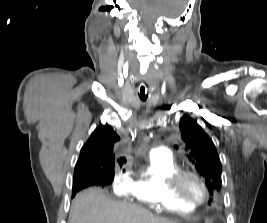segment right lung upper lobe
<instances>
[{
  "label": "right lung upper lobe",
  "mask_w": 267,
  "mask_h": 223,
  "mask_svg": "<svg viewBox=\"0 0 267 223\" xmlns=\"http://www.w3.org/2000/svg\"><path fill=\"white\" fill-rule=\"evenodd\" d=\"M119 136L110 126L98 127L81 149L76 163L74 177L80 175H104L105 170L114 167L115 157L112 154V145ZM123 160H119L122 164Z\"/></svg>",
  "instance_id": "cb5924a9"
}]
</instances>
